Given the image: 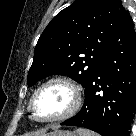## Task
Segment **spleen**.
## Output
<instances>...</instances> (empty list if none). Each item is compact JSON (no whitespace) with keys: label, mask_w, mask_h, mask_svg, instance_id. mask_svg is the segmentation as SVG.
<instances>
[{"label":"spleen","mask_w":136,"mask_h":136,"mask_svg":"<svg viewBox=\"0 0 136 136\" xmlns=\"http://www.w3.org/2000/svg\"><path fill=\"white\" fill-rule=\"evenodd\" d=\"M77 132H78L79 136H97V135L93 134L92 132L84 130V129H78Z\"/></svg>","instance_id":"spleen-1"}]
</instances>
